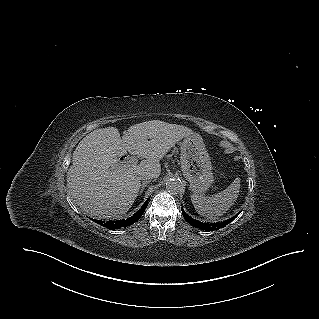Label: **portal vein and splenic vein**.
Here are the masks:
<instances>
[{"label": "portal vein and splenic vein", "instance_id": "18ae733b", "mask_svg": "<svg viewBox=\"0 0 319 319\" xmlns=\"http://www.w3.org/2000/svg\"><path fill=\"white\" fill-rule=\"evenodd\" d=\"M123 164V166H125V167H130V166H137V164H138V159H136V158H131V159H129V160H127V161H124V162H122Z\"/></svg>", "mask_w": 319, "mask_h": 319}]
</instances>
